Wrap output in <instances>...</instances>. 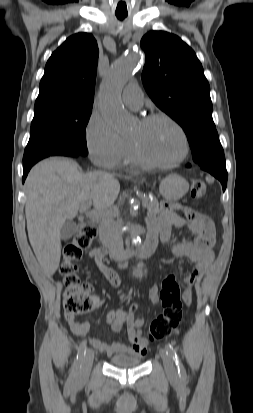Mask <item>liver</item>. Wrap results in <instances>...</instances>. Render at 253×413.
<instances>
[{
  "label": "liver",
  "mask_w": 253,
  "mask_h": 413,
  "mask_svg": "<svg viewBox=\"0 0 253 413\" xmlns=\"http://www.w3.org/2000/svg\"><path fill=\"white\" fill-rule=\"evenodd\" d=\"M25 186L29 241L48 275L59 267L63 224L75 218L81 204L87 201H92L98 212H105L120 191L114 175L101 171L83 174L75 161L57 157L36 164Z\"/></svg>",
  "instance_id": "1"
}]
</instances>
